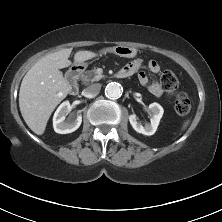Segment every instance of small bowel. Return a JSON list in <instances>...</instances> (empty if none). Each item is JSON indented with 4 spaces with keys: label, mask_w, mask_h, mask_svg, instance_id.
<instances>
[{
    "label": "small bowel",
    "mask_w": 222,
    "mask_h": 222,
    "mask_svg": "<svg viewBox=\"0 0 222 222\" xmlns=\"http://www.w3.org/2000/svg\"><path fill=\"white\" fill-rule=\"evenodd\" d=\"M141 66L142 60L136 59L125 65L121 70L128 72L129 76H131L137 73ZM147 67L151 73H157L160 70L159 64L154 60L149 61ZM138 79L142 85L147 87L151 94L155 96L162 95L163 91L161 85L157 81L151 80L145 72L140 71L138 73Z\"/></svg>",
    "instance_id": "c3829d8e"
}]
</instances>
